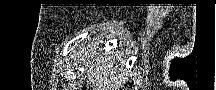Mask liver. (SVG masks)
Wrapping results in <instances>:
<instances>
[{"instance_id": "liver-1", "label": "liver", "mask_w": 216, "mask_h": 90, "mask_svg": "<svg viewBox=\"0 0 216 90\" xmlns=\"http://www.w3.org/2000/svg\"><path fill=\"white\" fill-rule=\"evenodd\" d=\"M123 58L117 56L114 58L113 54H105V56H100L97 52H84V56H78L77 70L81 72L84 70V74H87V78L90 84H94L93 78H96L95 82L97 88L94 90H119L120 84L116 82L114 78L115 72H117L118 66L122 64ZM124 82V80H120ZM117 84L119 88H117Z\"/></svg>"}]
</instances>
